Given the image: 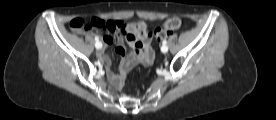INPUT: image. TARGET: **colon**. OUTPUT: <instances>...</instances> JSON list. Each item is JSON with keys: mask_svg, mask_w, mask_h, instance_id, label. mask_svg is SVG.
Wrapping results in <instances>:
<instances>
[{"mask_svg": "<svg viewBox=\"0 0 276 120\" xmlns=\"http://www.w3.org/2000/svg\"><path fill=\"white\" fill-rule=\"evenodd\" d=\"M184 21L177 17L168 18L164 21L162 27L155 29L154 34L158 39H163L174 31L183 27ZM94 27L101 30H106L109 27L107 20L99 17L90 19L76 18L70 22V29L74 32H82ZM121 33L127 39H143L147 37V26L143 21H132L121 26ZM120 83V82H119Z\"/></svg>", "mask_w": 276, "mask_h": 120, "instance_id": "1", "label": "colon"}]
</instances>
